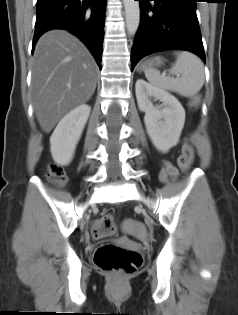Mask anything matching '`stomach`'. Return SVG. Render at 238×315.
<instances>
[{
    "label": "stomach",
    "mask_w": 238,
    "mask_h": 315,
    "mask_svg": "<svg viewBox=\"0 0 238 315\" xmlns=\"http://www.w3.org/2000/svg\"><path fill=\"white\" fill-rule=\"evenodd\" d=\"M162 64V60L159 57H155L153 59H148L140 67V70L152 69L155 66H160Z\"/></svg>",
    "instance_id": "stomach-1"
}]
</instances>
